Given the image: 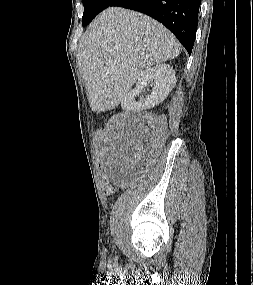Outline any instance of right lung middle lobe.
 Segmentation results:
<instances>
[{
	"label": "right lung middle lobe",
	"mask_w": 253,
	"mask_h": 285,
	"mask_svg": "<svg viewBox=\"0 0 253 285\" xmlns=\"http://www.w3.org/2000/svg\"><path fill=\"white\" fill-rule=\"evenodd\" d=\"M84 13L82 25L86 26L101 11L109 7L115 0H82Z\"/></svg>",
	"instance_id": "right-lung-middle-lobe-1"
}]
</instances>
